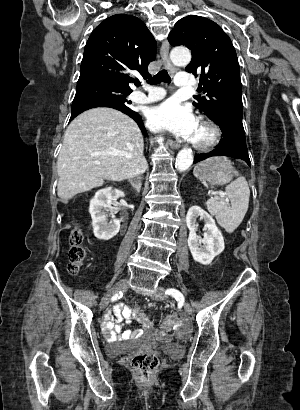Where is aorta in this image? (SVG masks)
<instances>
[{
	"mask_svg": "<svg viewBox=\"0 0 300 410\" xmlns=\"http://www.w3.org/2000/svg\"><path fill=\"white\" fill-rule=\"evenodd\" d=\"M171 60L175 65L185 66L191 61V53L186 48H174L170 54ZM193 163V153L191 149L184 148L179 151L176 157L175 166L178 171L187 170Z\"/></svg>",
	"mask_w": 300,
	"mask_h": 410,
	"instance_id": "obj_1",
	"label": "aorta"
}]
</instances>
